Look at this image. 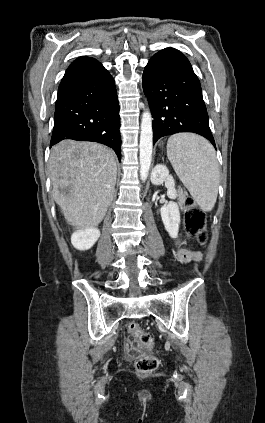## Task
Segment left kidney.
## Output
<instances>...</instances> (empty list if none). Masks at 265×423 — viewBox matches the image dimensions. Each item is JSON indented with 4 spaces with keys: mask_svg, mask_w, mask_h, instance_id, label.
<instances>
[{
    "mask_svg": "<svg viewBox=\"0 0 265 423\" xmlns=\"http://www.w3.org/2000/svg\"><path fill=\"white\" fill-rule=\"evenodd\" d=\"M151 181L154 185H161L165 183L167 196L170 199H176L177 192L175 189V181L169 174V170L165 165L157 164L154 167ZM160 213L166 231L171 238H176L178 236L180 225V211L178 204L174 201H170L167 205L161 207Z\"/></svg>",
    "mask_w": 265,
    "mask_h": 423,
    "instance_id": "1",
    "label": "left kidney"
}]
</instances>
